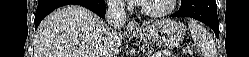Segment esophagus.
I'll use <instances>...</instances> for the list:
<instances>
[{"label": "esophagus", "mask_w": 249, "mask_h": 57, "mask_svg": "<svg viewBox=\"0 0 249 57\" xmlns=\"http://www.w3.org/2000/svg\"><path fill=\"white\" fill-rule=\"evenodd\" d=\"M127 30L130 32L140 30V27L136 21H130L127 25Z\"/></svg>", "instance_id": "1"}]
</instances>
